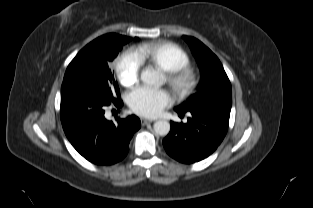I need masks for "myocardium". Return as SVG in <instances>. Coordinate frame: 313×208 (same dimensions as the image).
I'll return each mask as SVG.
<instances>
[{
    "instance_id": "f54148a6",
    "label": "myocardium",
    "mask_w": 313,
    "mask_h": 208,
    "mask_svg": "<svg viewBox=\"0 0 313 208\" xmlns=\"http://www.w3.org/2000/svg\"><path fill=\"white\" fill-rule=\"evenodd\" d=\"M167 82L179 97L189 96L197 87L198 78L190 67H181L166 74Z\"/></svg>"
}]
</instances>
